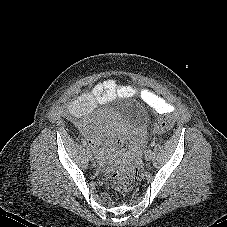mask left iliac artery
I'll use <instances>...</instances> for the list:
<instances>
[{
  "label": "left iliac artery",
  "mask_w": 227,
  "mask_h": 227,
  "mask_svg": "<svg viewBox=\"0 0 227 227\" xmlns=\"http://www.w3.org/2000/svg\"><path fill=\"white\" fill-rule=\"evenodd\" d=\"M155 144H156L155 142H152V143H151V146L153 147V146H155Z\"/></svg>",
  "instance_id": "left-iliac-artery-1"
}]
</instances>
